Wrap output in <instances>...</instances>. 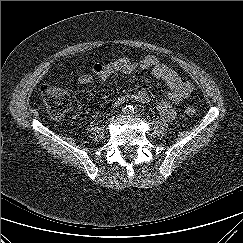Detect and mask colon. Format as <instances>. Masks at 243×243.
<instances>
[{
  "label": "colon",
  "mask_w": 243,
  "mask_h": 243,
  "mask_svg": "<svg viewBox=\"0 0 243 243\" xmlns=\"http://www.w3.org/2000/svg\"><path fill=\"white\" fill-rule=\"evenodd\" d=\"M40 93L48 113L56 119L63 117L70 108V98L68 93L54 85L45 84L41 86ZM185 113L194 115L197 111L193 100H188L185 104Z\"/></svg>",
  "instance_id": "obj_1"
}]
</instances>
